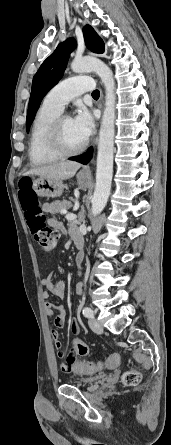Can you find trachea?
Wrapping results in <instances>:
<instances>
[{
    "label": "trachea",
    "mask_w": 171,
    "mask_h": 445,
    "mask_svg": "<svg viewBox=\"0 0 171 445\" xmlns=\"http://www.w3.org/2000/svg\"><path fill=\"white\" fill-rule=\"evenodd\" d=\"M99 95H100L99 90H94V91L92 92V96H93V97H99Z\"/></svg>",
    "instance_id": "trachea-1"
}]
</instances>
